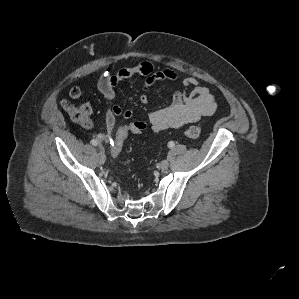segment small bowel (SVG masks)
Returning <instances> with one entry per match:
<instances>
[{
	"label": "small bowel",
	"mask_w": 299,
	"mask_h": 299,
	"mask_svg": "<svg viewBox=\"0 0 299 299\" xmlns=\"http://www.w3.org/2000/svg\"><path fill=\"white\" fill-rule=\"evenodd\" d=\"M136 75L144 77L143 92L140 95V101L143 104L148 102L147 92L155 83H176L178 80V75L173 70L168 68L155 70L151 62L143 61L123 67L115 74L101 76L98 81V90L105 101L110 103L115 98V87L124 80ZM184 86L185 90H176L174 92L170 105L149 113L148 122L154 132L180 128L215 113L217 104L207 87L199 86L198 80L193 76L184 80ZM69 96L74 100H78L82 96V90L74 86L70 89ZM83 106L86 107L90 114L92 113V107L89 103H84ZM118 117L132 119L133 111L125 110L119 105H110L105 115L107 132L97 135L100 141L111 142V134L116 126ZM132 121L142 124L144 129L147 126L142 119ZM91 125L88 127H91Z\"/></svg>",
	"instance_id": "1"
}]
</instances>
